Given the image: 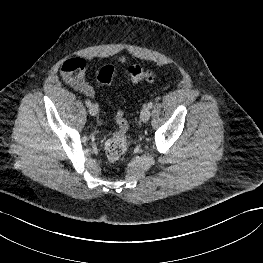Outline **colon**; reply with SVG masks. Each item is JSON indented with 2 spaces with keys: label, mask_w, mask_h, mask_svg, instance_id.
Wrapping results in <instances>:
<instances>
[{
  "label": "colon",
  "mask_w": 263,
  "mask_h": 263,
  "mask_svg": "<svg viewBox=\"0 0 263 263\" xmlns=\"http://www.w3.org/2000/svg\"><path fill=\"white\" fill-rule=\"evenodd\" d=\"M128 77L133 82L143 80L153 81L157 73L140 66H131L127 70ZM114 69L110 65L103 66L97 74V80L104 85H110L114 80ZM117 131L105 143V155L108 161H117L127 150L129 125L122 110L116 114Z\"/></svg>",
  "instance_id": "1"
}]
</instances>
